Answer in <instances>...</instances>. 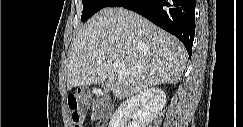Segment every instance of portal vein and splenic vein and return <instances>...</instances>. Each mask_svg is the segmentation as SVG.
<instances>
[{
  "mask_svg": "<svg viewBox=\"0 0 243 127\" xmlns=\"http://www.w3.org/2000/svg\"><path fill=\"white\" fill-rule=\"evenodd\" d=\"M112 68L117 72V73H122L124 72L125 74H131L132 73V70H126L122 64L120 63H114L112 65Z\"/></svg>",
  "mask_w": 243,
  "mask_h": 127,
  "instance_id": "1",
  "label": "portal vein and splenic vein"
}]
</instances>
